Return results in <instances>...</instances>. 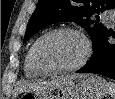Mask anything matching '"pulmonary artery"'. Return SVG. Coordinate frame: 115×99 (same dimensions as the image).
I'll return each instance as SVG.
<instances>
[{
    "instance_id": "e3ab8cb5",
    "label": "pulmonary artery",
    "mask_w": 115,
    "mask_h": 99,
    "mask_svg": "<svg viewBox=\"0 0 115 99\" xmlns=\"http://www.w3.org/2000/svg\"><path fill=\"white\" fill-rule=\"evenodd\" d=\"M102 17H103V19H104L106 22H108V23H112V21H113V16H112V14H111L110 12H108V11H105V12L103 13Z\"/></svg>"
}]
</instances>
